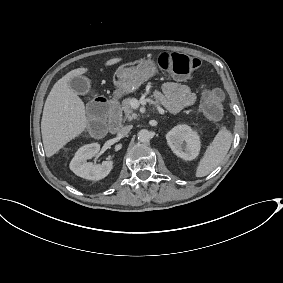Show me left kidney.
<instances>
[{
  "mask_svg": "<svg viewBox=\"0 0 283 283\" xmlns=\"http://www.w3.org/2000/svg\"><path fill=\"white\" fill-rule=\"evenodd\" d=\"M171 150L184 160L195 159L200 152V137L188 125H177L166 134Z\"/></svg>",
  "mask_w": 283,
  "mask_h": 283,
  "instance_id": "1",
  "label": "left kidney"
}]
</instances>
